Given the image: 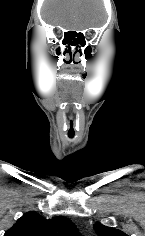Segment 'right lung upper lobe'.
I'll return each mask as SVG.
<instances>
[{"instance_id": "right-lung-upper-lobe-1", "label": "right lung upper lobe", "mask_w": 145, "mask_h": 236, "mask_svg": "<svg viewBox=\"0 0 145 236\" xmlns=\"http://www.w3.org/2000/svg\"><path fill=\"white\" fill-rule=\"evenodd\" d=\"M4 236H80L66 217L47 220L35 212L25 213Z\"/></svg>"}]
</instances>
